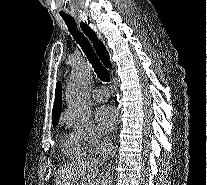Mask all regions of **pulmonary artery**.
I'll use <instances>...</instances> for the list:
<instances>
[{
  "mask_svg": "<svg viewBox=\"0 0 207 185\" xmlns=\"http://www.w3.org/2000/svg\"><path fill=\"white\" fill-rule=\"evenodd\" d=\"M101 88H103V87L95 88L92 92L93 99L98 102L107 101V99L109 98V95H110L108 90L101 89Z\"/></svg>",
  "mask_w": 207,
  "mask_h": 185,
  "instance_id": "1",
  "label": "pulmonary artery"
}]
</instances>
